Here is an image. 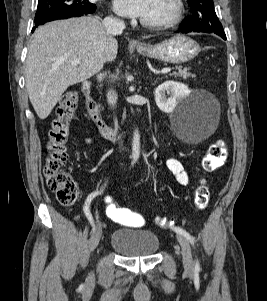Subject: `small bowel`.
<instances>
[{
    "label": "small bowel",
    "instance_id": "small-bowel-1",
    "mask_svg": "<svg viewBox=\"0 0 267 301\" xmlns=\"http://www.w3.org/2000/svg\"><path fill=\"white\" fill-rule=\"evenodd\" d=\"M91 139H87L90 142ZM166 165L171 173L176 178L177 182L183 186H187L190 183V177L188 172L185 170L182 162L176 158H169L166 161ZM91 214V213H90ZM97 217V216H96Z\"/></svg>",
    "mask_w": 267,
    "mask_h": 301
}]
</instances>
